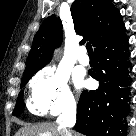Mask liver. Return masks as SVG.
I'll return each instance as SVG.
<instances>
[{"mask_svg":"<svg viewBox=\"0 0 136 136\" xmlns=\"http://www.w3.org/2000/svg\"><path fill=\"white\" fill-rule=\"evenodd\" d=\"M65 134L53 123H42L22 127L15 136H60Z\"/></svg>","mask_w":136,"mask_h":136,"instance_id":"6515ba94","label":"liver"}]
</instances>
